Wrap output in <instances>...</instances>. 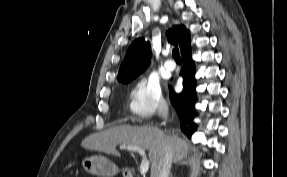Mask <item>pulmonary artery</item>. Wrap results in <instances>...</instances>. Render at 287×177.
<instances>
[{
  "label": "pulmonary artery",
  "mask_w": 287,
  "mask_h": 177,
  "mask_svg": "<svg viewBox=\"0 0 287 177\" xmlns=\"http://www.w3.org/2000/svg\"><path fill=\"white\" fill-rule=\"evenodd\" d=\"M176 65L175 63L172 61V60H168L166 61L165 63V68L168 70V71H174Z\"/></svg>",
  "instance_id": "obj_1"
}]
</instances>
